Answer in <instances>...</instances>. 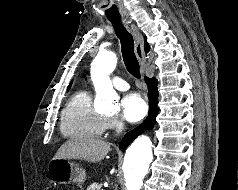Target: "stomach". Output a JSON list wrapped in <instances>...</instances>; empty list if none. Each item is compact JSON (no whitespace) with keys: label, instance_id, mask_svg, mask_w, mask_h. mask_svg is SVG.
<instances>
[{"label":"stomach","instance_id":"stomach-1","mask_svg":"<svg viewBox=\"0 0 238 190\" xmlns=\"http://www.w3.org/2000/svg\"><path fill=\"white\" fill-rule=\"evenodd\" d=\"M48 172L52 180L59 184H83L86 180L85 170L68 159L51 160Z\"/></svg>","mask_w":238,"mask_h":190}]
</instances>
